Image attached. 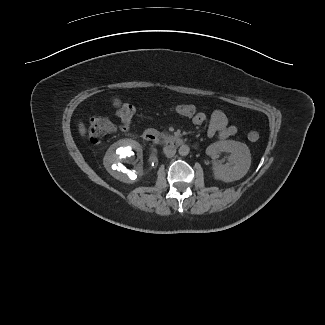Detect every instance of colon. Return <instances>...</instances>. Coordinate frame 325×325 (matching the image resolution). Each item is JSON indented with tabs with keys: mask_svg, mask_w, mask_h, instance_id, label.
Segmentation results:
<instances>
[{
	"mask_svg": "<svg viewBox=\"0 0 325 325\" xmlns=\"http://www.w3.org/2000/svg\"><path fill=\"white\" fill-rule=\"evenodd\" d=\"M170 113L193 119L202 113L199 108L194 104H175L167 109ZM135 108L133 105L125 103L122 104L117 110L119 123L115 124L107 117H92L89 122V139L93 144H99L102 140L116 132L117 130H127L134 118ZM248 139L251 142L259 140V134L256 131L248 133Z\"/></svg>",
	"mask_w": 325,
	"mask_h": 325,
	"instance_id": "obj_1",
	"label": "colon"
}]
</instances>
